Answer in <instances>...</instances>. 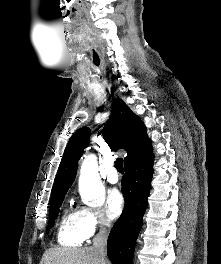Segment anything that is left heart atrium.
<instances>
[{"label":"left heart atrium","mask_w":221,"mask_h":264,"mask_svg":"<svg viewBox=\"0 0 221 264\" xmlns=\"http://www.w3.org/2000/svg\"><path fill=\"white\" fill-rule=\"evenodd\" d=\"M124 207V199L117 189H112L106 197V213L110 219L118 217Z\"/></svg>","instance_id":"obj_1"}]
</instances>
